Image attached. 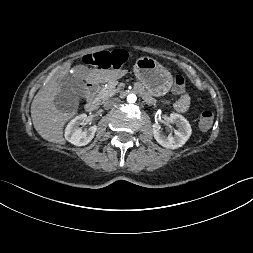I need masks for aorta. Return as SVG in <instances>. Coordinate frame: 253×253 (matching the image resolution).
<instances>
[{
  "label": "aorta",
  "instance_id": "762f6f07",
  "mask_svg": "<svg viewBox=\"0 0 253 253\" xmlns=\"http://www.w3.org/2000/svg\"><path fill=\"white\" fill-rule=\"evenodd\" d=\"M136 95H134V94H129L128 96H127V102L129 103V104H132V103H135V101H136Z\"/></svg>",
  "mask_w": 253,
  "mask_h": 253
}]
</instances>
